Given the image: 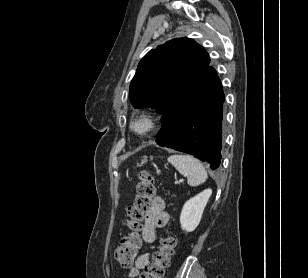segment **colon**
<instances>
[{"instance_id": "5ec220e1", "label": "colon", "mask_w": 308, "mask_h": 278, "mask_svg": "<svg viewBox=\"0 0 308 278\" xmlns=\"http://www.w3.org/2000/svg\"><path fill=\"white\" fill-rule=\"evenodd\" d=\"M154 196V178L146 171L140 172L135 201L127 210L126 226L128 232L122 238L115 252V258L123 268H130L136 259L141 246L139 237L141 221L151 208ZM175 246V238L172 235L165 236L161 240L159 250L147 263L140 278H163L174 254Z\"/></svg>"}]
</instances>
